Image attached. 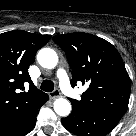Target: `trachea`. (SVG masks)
Returning <instances> with one entry per match:
<instances>
[{"instance_id":"3493384b","label":"trachea","mask_w":136,"mask_h":136,"mask_svg":"<svg viewBox=\"0 0 136 136\" xmlns=\"http://www.w3.org/2000/svg\"><path fill=\"white\" fill-rule=\"evenodd\" d=\"M43 91L51 92L54 90V83L51 80H44L40 86Z\"/></svg>"}]
</instances>
